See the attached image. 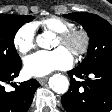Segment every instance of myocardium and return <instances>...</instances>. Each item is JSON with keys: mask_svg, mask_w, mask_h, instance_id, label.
Returning a JSON list of instances; mask_svg holds the SVG:
<instances>
[{"mask_svg": "<svg viewBox=\"0 0 112 112\" xmlns=\"http://www.w3.org/2000/svg\"><path fill=\"white\" fill-rule=\"evenodd\" d=\"M58 39L64 46H69L72 53L77 57L84 55L90 46V35L82 28H73L59 34Z\"/></svg>", "mask_w": 112, "mask_h": 112, "instance_id": "f54148a6", "label": "myocardium"}]
</instances>
